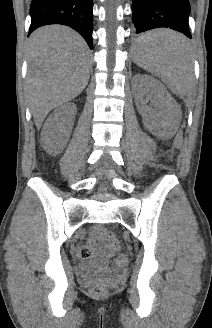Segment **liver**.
<instances>
[{"label": "liver", "instance_id": "1", "mask_svg": "<svg viewBox=\"0 0 212 328\" xmlns=\"http://www.w3.org/2000/svg\"><path fill=\"white\" fill-rule=\"evenodd\" d=\"M90 67L87 44L69 27L45 26L30 36L26 91L38 129L52 109L83 91Z\"/></svg>", "mask_w": 212, "mask_h": 328}]
</instances>
